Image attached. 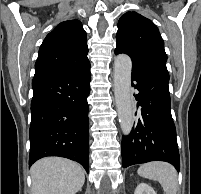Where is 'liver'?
I'll list each match as a JSON object with an SVG mask.
<instances>
[{
  "label": "liver",
  "instance_id": "1",
  "mask_svg": "<svg viewBox=\"0 0 201 194\" xmlns=\"http://www.w3.org/2000/svg\"><path fill=\"white\" fill-rule=\"evenodd\" d=\"M31 178V194H76L85 182L83 168L60 157L37 161L31 167Z\"/></svg>",
  "mask_w": 201,
  "mask_h": 194
}]
</instances>
